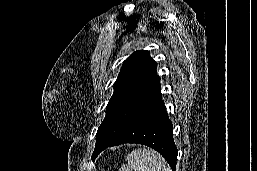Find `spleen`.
Wrapping results in <instances>:
<instances>
[{"label":"spleen","mask_w":257,"mask_h":171,"mask_svg":"<svg viewBox=\"0 0 257 171\" xmlns=\"http://www.w3.org/2000/svg\"><path fill=\"white\" fill-rule=\"evenodd\" d=\"M127 164L119 171H171L165 159L149 148H139L127 155Z\"/></svg>","instance_id":"obj_1"}]
</instances>
